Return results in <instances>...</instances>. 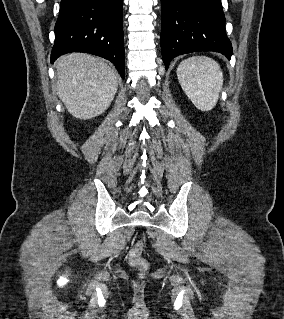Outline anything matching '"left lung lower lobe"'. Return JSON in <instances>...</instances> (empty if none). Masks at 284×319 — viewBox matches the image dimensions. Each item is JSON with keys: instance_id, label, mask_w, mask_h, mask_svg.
I'll list each match as a JSON object with an SVG mask.
<instances>
[{"instance_id": "1", "label": "left lung lower lobe", "mask_w": 284, "mask_h": 319, "mask_svg": "<svg viewBox=\"0 0 284 319\" xmlns=\"http://www.w3.org/2000/svg\"><path fill=\"white\" fill-rule=\"evenodd\" d=\"M161 8L166 69L174 57L190 52L215 51L231 58L221 0H161Z\"/></svg>"}]
</instances>
